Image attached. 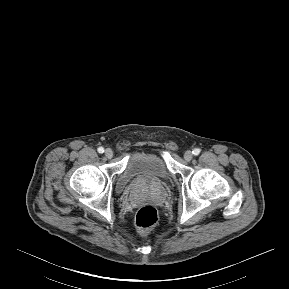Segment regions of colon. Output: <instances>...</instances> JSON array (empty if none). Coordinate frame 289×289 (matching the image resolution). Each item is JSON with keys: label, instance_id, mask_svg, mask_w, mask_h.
I'll return each mask as SVG.
<instances>
[{"label": "colon", "instance_id": "5ec220e1", "mask_svg": "<svg viewBox=\"0 0 289 289\" xmlns=\"http://www.w3.org/2000/svg\"><path fill=\"white\" fill-rule=\"evenodd\" d=\"M157 221L158 212L152 205H144L136 213L135 223L142 234L148 233Z\"/></svg>", "mask_w": 289, "mask_h": 289}]
</instances>
